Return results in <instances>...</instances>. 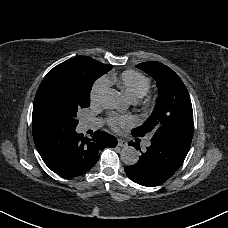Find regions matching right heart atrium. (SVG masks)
<instances>
[{
	"label": "right heart atrium",
	"instance_id": "obj_1",
	"mask_svg": "<svg viewBox=\"0 0 228 228\" xmlns=\"http://www.w3.org/2000/svg\"><path fill=\"white\" fill-rule=\"evenodd\" d=\"M107 94L106 87L103 82H100L95 85L91 93V102L99 103L104 100Z\"/></svg>",
	"mask_w": 228,
	"mask_h": 228
}]
</instances>
